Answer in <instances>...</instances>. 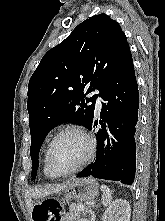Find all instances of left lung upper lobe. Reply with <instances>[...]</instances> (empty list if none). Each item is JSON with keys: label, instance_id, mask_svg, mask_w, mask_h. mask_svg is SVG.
<instances>
[{"label": "left lung upper lobe", "instance_id": "obj_1", "mask_svg": "<svg viewBox=\"0 0 165 221\" xmlns=\"http://www.w3.org/2000/svg\"><path fill=\"white\" fill-rule=\"evenodd\" d=\"M130 55L120 25L99 14L79 24L43 56L28 86L32 180L49 131L63 122L87 127L94 116L97 95H86L95 89L101 94Z\"/></svg>", "mask_w": 165, "mask_h": 221}]
</instances>
